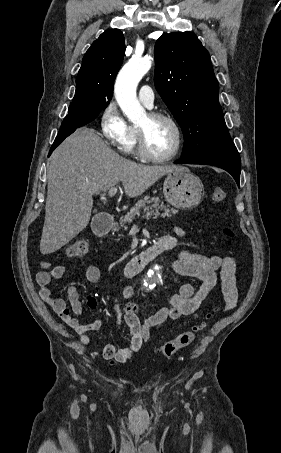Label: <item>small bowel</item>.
Wrapping results in <instances>:
<instances>
[{"mask_svg": "<svg viewBox=\"0 0 281 453\" xmlns=\"http://www.w3.org/2000/svg\"><path fill=\"white\" fill-rule=\"evenodd\" d=\"M170 230L180 238L185 237V230L177 225H171ZM149 245H156L157 252L174 251L176 240L173 237H165L162 242L154 240ZM43 269L36 274L37 283L40 288L42 299L77 333L83 346L91 344V337L88 332H97L103 328V320L97 319L91 323L82 325L78 317L84 308L79 299L77 287L73 284L67 286V302L54 298L51 295L49 282L51 278L60 279L66 273V266L58 264L52 269L51 263L42 262ZM221 270V278L216 272ZM236 262L234 257L221 258L217 255H203L190 253L185 249H179L177 259L170 264L171 272L179 277L192 276L200 281V287L194 290L190 285H181L177 293L171 296L169 307L160 309L140 322L137 317L138 306L131 300L133 293L132 286H125L122 289V296L115 297L113 306L116 315V327L126 325L131 332V339L127 346L118 348L113 344H107L102 349V356L105 360L113 363H125L130 360L143 343H145L156 328L162 326L167 320L178 319L183 315L199 318L202 315V302L206 296L218 285L222 286L225 310L235 308L238 300V291L235 282ZM86 277L92 284L100 280V273L96 266L86 267Z\"/></svg>", "mask_w": 281, "mask_h": 453, "instance_id": "obj_1", "label": "small bowel"}]
</instances>
